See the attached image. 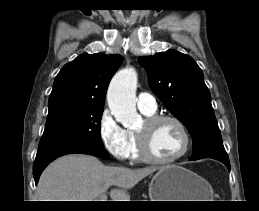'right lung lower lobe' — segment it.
Listing matches in <instances>:
<instances>
[{"label": "right lung lower lobe", "mask_w": 259, "mask_h": 211, "mask_svg": "<svg viewBox=\"0 0 259 211\" xmlns=\"http://www.w3.org/2000/svg\"><path fill=\"white\" fill-rule=\"evenodd\" d=\"M71 153L89 154L101 158H107L109 156L108 152L104 149V147H90L73 143L58 144L38 149L36 159L33 165V176L35 179V183H38L42 171L50 162L62 155Z\"/></svg>", "instance_id": "obj_1"}]
</instances>
